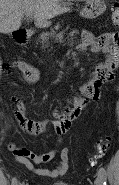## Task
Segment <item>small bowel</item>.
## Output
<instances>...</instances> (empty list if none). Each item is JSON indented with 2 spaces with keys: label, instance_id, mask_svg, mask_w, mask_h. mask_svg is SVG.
<instances>
[{
  "label": "small bowel",
  "instance_id": "obj_1",
  "mask_svg": "<svg viewBox=\"0 0 119 185\" xmlns=\"http://www.w3.org/2000/svg\"><path fill=\"white\" fill-rule=\"evenodd\" d=\"M76 48L79 51L90 49L93 53H102L104 60L96 65L91 79L80 86L81 96L68 97L62 108L55 111L53 119L49 121L32 120L27 116L25 105L18 98L11 99L14 104L15 118L26 133L41 135L48 127H51L56 134L55 147L44 154H37L25 148H16L13 144L9 145L18 162L37 176L46 179L64 176L69 171V148L63 144L71 122L78 118L91 102L99 99L101 86L113 79V72L119 65V36L117 33L96 35L89 30H84L81 34V42ZM13 68H17L24 80L30 84L39 82L42 77L39 69L24 60H15L11 64L2 66L3 71L8 75L11 74ZM99 79L100 82L95 85L94 83ZM56 155H60V161L53 169L36 166L51 161Z\"/></svg>",
  "mask_w": 119,
  "mask_h": 185
}]
</instances>
